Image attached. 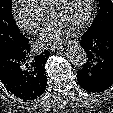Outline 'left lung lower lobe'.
Listing matches in <instances>:
<instances>
[{
    "mask_svg": "<svg viewBox=\"0 0 113 113\" xmlns=\"http://www.w3.org/2000/svg\"><path fill=\"white\" fill-rule=\"evenodd\" d=\"M81 46L87 54L84 67L77 71L79 85L89 92H102L113 84V25L96 33L85 32Z\"/></svg>",
    "mask_w": 113,
    "mask_h": 113,
    "instance_id": "obj_1",
    "label": "left lung lower lobe"
}]
</instances>
